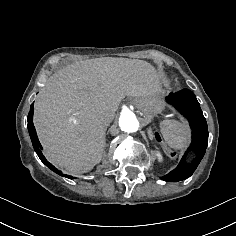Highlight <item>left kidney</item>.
<instances>
[{
  "label": "left kidney",
  "mask_w": 236,
  "mask_h": 236,
  "mask_svg": "<svg viewBox=\"0 0 236 236\" xmlns=\"http://www.w3.org/2000/svg\"><path fill=\"white\" fill-rule=\"evenodd\" d=\"M157 159H158L159 162L163 161V157L160 153H157Z\"/></svg>",
  "instance_id": "left-kidney-1"
}]
</instances>
